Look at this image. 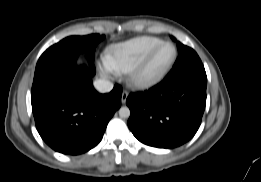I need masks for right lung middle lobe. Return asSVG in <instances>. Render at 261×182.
Returning a JSON list of instances; mask_svg holds the SVG:
<instances>
[{"label": "right lung middle lobe", "instance_id": "dd1d6c3e", "mask_svg": "<svg viewBox=\"0 0 261 182\" xmlns=\"http://www.w3.org/2000/svg\"><path fill=\"white\" fill-rule=\"evenodd\" d=\"M103 38L104 35L100 36L99 34L67 37L57 44L49 47L39 58L37 65L62 54H79L82 52L87 53L88 60L90 62H94L95 47Z\"/></svg>", "mask_w": 261, "mask_h": 182}]
</instances>
